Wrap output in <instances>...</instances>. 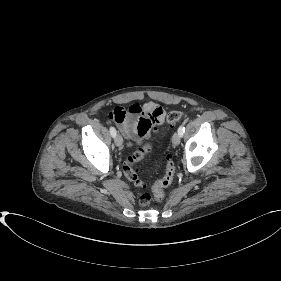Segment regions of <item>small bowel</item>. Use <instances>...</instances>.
I'll return each mask as SVG.
<instances>
[{"instance_id":"1","label":"small bowel","mask_w":281,"mask_h":281,"mask_svg":"<svg viewBox=\"0 0 281 281\" xmlns=\"http://www.w3.org/2000/svg\"><path fill=\"white\" fill-rule=\"evenodd\" d=\"M136 107V112H128L123 120L116 123L128 140L141 143L155 126L163 123L164 110L153 102L137 104Z\"/></svg>"}]
</instances>
